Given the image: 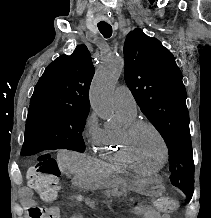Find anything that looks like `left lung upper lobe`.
I'll use <instances>...</instances> for the list:
<instances>
[{"label":"left lung upper lobe","mask_w":211,"mask_h":218,"mask_svg":"<svg viewBox=\"0 0 211 218\" xmlns=\"http://www.w3.org/2000/svg\"><path fill=\"white\" fill-rule=\"evenodd\" d=\"M124 59L127 86L167 144L170 180L191 198L194 162L189 113L183 76L175 58L159 40L135 29L126 38Z\"/></svg>","instance_id":"left-lung-upper-lobe-1"}]
</instances>
